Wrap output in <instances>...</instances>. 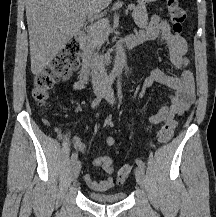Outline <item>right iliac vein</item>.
<instances>
[{"label": "right iliac vein", "mask_w": 216, "mask_h": 217, "mask_svg": "<svg viewBox=\"0 0 216 217\" xmlns=\"http://www.w3.org/2000/svg\"><path fill=\"white\" fill-rule=\"evenodd\" d=\"M101 93H102V87H97L95 89V94L100 95ZM80 170H81V162L80 161L73 162L71 166V177L73 180H75L79 176Z\"/></svg>", "instance_id": "right-iliac-vein-1"}]
</instances>
